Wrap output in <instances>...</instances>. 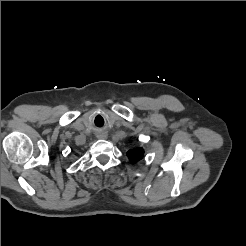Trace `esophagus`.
I'll return each instance as SVG.
<instances>
[{
  "label": "esophagus",
  "mask_w": 246,
  "mask_h": 246,
  "mask_svg": "<svg viewBox=\"0 0 246 246\" xmlns=\"http://www.w3.org/2000/svg\"><path fill=\"white\" fill-rule=\"evenodd\" d=\"M106 136L105 135H99L98 138L104 139Z\"/></svg>",
  "instance_id": "34e87169"
}]
</instances>
